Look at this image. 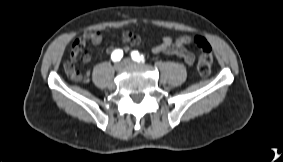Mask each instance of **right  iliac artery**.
Masks as SVG:
<instances>
[{
  "instance_id": "82829eb1",
  "label": "right iliac artery",
  "mask_w": 283,
  "mask_h": 162,
  "mask_svg": "<svg viewBox=\"0 0 283 162\" xmlns=\"http://www.w3.org/2000/svg\"><path fill=\"white\" fill-rule=\"evenodd\" d=\"M122 57H123V51L120 49L115 50L111 55V59L114 62L121 60Z\"/></svg>"
}]
</instances>
